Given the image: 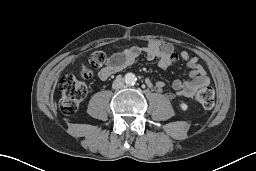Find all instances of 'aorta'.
Returning <instances> with one entry per match:
<instances>
[{
    "label": "aorta",
    "mask_w": 256,
    "mask_h": 171,
    "mask_svg": "<svg viewBox=\"0 0 256 171\" xmlns=\"http://www.w3.org/2000/svg\"><path fill=\"white\" fill-rule=\"evenodd\" d=\"M136 76L133 73H127L124 77V81L127 85H134L136 83Z\"/></svg>",
    "instance_id": "obj_1"
}]
</instances>
